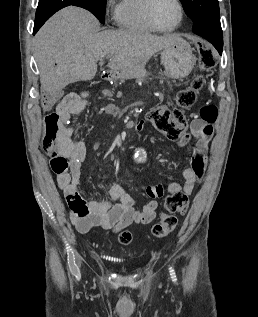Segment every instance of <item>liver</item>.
I'll use <instances>...</instances> for the list:
<instances>
[{
  "instance_id": "1",
  "label": "liver",
  "mask_w": 258,
  "mask_h": 317,
  "mask_svg": "<svg viewBox=\"0 0 258 317\" xmlns=\"http://www.w3.org/2000/svg\"><path fill=\"white\" fill-rule=\"evenodd\" d=\"M98 30L99 20L79 6H66L43 24L35 36L42 92L59 98L69 82L94 78L97 60L105 54L116 72L144 70L152 54L183 40L173 32L157 36L147 30Z\"/></svg>"
}]
</instances>
